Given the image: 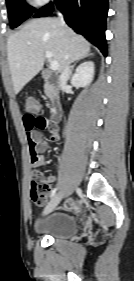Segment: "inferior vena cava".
Listing matches in <instances>:
<instances>
[{
	"label": "inferior vena cava",
	"instance_id": "inferior-vena-cava-1",
	"mask_svg": "<svg viewBox=\"0 0 134 281\" xmlns=\"http://www.w3.org/2000/svg\"><path fill=\"white\" fill-rule=\"evenodd\" d=\"M59 15V20L62 24H65L64 19H63V15L61 13H58ZM71 69L72 66H70L69 64L65 66L64 70L62 71L61 75H60V87L61 90L64 91L67 87V81L70 78L71 75Z\"/></svg>",
	"mask_w": 134,
	"mask_h": 281
}]
</instances>
